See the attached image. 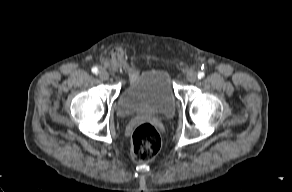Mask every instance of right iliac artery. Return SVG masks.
<instances>
[{"instance_id":"82829eb1","label":"right iliac artery","mask_w":292,"mask_h":192,"mask_svg":"<svg viewBox=\"0 0 292 192\" xmlns=\"http://www.w3.org/2000/svg\"><path fill=\"white\" fill-rule=\"evenodd\" d=\"M92 72H93L94 74H97V73H98V68H97V67H93V68H92Z\"/></svg>"}]
</instances>
